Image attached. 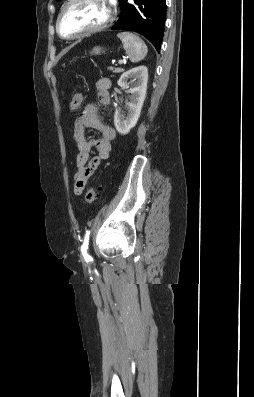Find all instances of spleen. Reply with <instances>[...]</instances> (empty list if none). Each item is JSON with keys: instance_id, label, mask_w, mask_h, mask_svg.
<instances>
[{"instance_id": "obj_1", "label": "spleen", "mask_w": 254, "mask_h": 397, "mask_svg": "<svg viewBox=\"0 0 254 397\" xmlns=\"http://www.w3.org/2000/svg\"><path fill=\"white\" fill-rule=\"evenodd\" d=\"M117 36L122 41L131 62H139L147 55V46L137 35L130 32H122L118 33Z\"/></svg>"}]
</instances>
